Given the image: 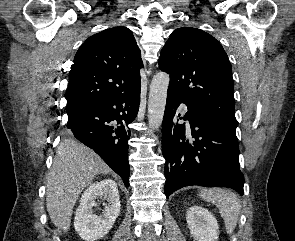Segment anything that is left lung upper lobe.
<instances>
[{
  "mask_svg": "<svg viewBox=\"0 0 295 241\" xmlns=\"http://www.w3.org/2000/svg\"><path fill=\"white\" fill-rule=\"evenodd\" d=\"M159 67L170 75L168 90L190 108L236 128L231 64L213 36L192 27L174 30Z\"/></svg>",
  "mask_w": 295,
  "mask_h": 241,
  "instance_id": "5c2ea615",
  "label": "left lung upper lobe"
}]
</instances>
